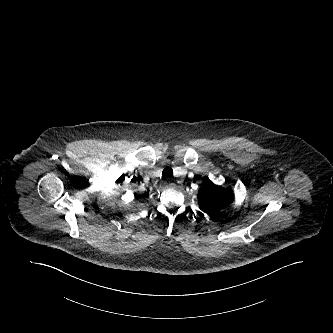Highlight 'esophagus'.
<instances>
[{
	"mask_svg": "<svg viewBox=\"0 0 333 333\" xmlns=\"http://www.w3.org/2000/svg\"><path fill=\"white\" fill-rule=\"evenodd\" d=\"M165 186L168 188H174L175 187V183L171 181V179H167L165 182Z\"/></svg>",
	"mask_w": 333,
	"mask_h": 333,
	"instance_id": "1",
	"label": "esophagus"
}]
</instances>
